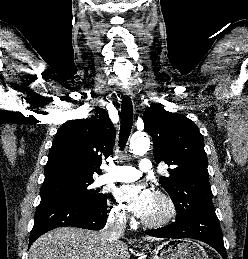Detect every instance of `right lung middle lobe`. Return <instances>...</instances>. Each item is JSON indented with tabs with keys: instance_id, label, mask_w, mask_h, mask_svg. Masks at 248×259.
Wrapping results in <instances>:
<instances>
[{
	"instance_id": "dd1d6c3e",
	"label": "right lung middle lobe",
	"mask_w": 248,
	"mask_h": 259,
	"mask_svg": "<svg viewBox=\"0 0 248 259\" xmlns=\"http://www.w3.org/2000/svg\"><path fill=\"white\" fill-rule=\"evenodd\" d=\"M93 180H67L43 184L40 190L41 199L66 198L83 203L105 204L106 196L91 189Z\"/></svg>"
}]
</instances>
